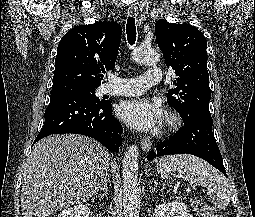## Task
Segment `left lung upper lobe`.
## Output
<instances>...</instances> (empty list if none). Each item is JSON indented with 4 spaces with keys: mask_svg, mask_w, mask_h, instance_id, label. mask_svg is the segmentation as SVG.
<instances>
[{
    "mask_svg": "<svg viewBox=\"0 0 255 217\" xmlns=\"http://www.w3.org/2000/svg\"><path fill=\"white\" fill-rule=\"evenodd\" d=\"M156 42L167 67L175 70L176 86L168 91L167 102L188 122L200 115L211 117L209 75L207 71V41L190 24L155 23Z\"/></svg>",
    "mask_w": 255,
    "mask_h": 217,
    "instance_id": "5c2ea615",
    "label": "left lung upper lobe"
}]
</instances>
